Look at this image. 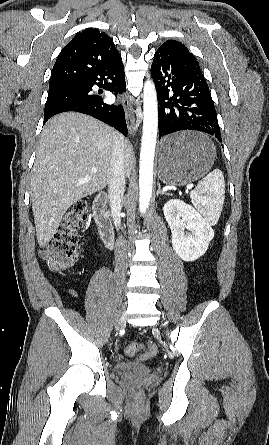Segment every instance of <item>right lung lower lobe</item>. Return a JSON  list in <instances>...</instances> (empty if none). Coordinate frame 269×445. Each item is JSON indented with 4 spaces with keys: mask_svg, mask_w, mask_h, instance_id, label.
<instances>
[{
    "mask_svg": "<svg viewBox=\"0 0 269 445\" xmlns=\"http://www.w3.org/2000/svg\"><path fill=\"white\" fill-rule=\"evenodd\" d=\"M81 85H83V89L79 93L56 105L44 115V123L58 113L75 111L91 115L127 136V125L122 105L106 104L103 102V96L91 93L93 85L104 87L114 94L125 92V73L121 58L87 76Z\"/></svg>",
    "mask_w": 269,
    "mask_h": 445,
    "instance_id": "98d812e1",
    "label": "right lung lower lobe"
}]
</instances>
